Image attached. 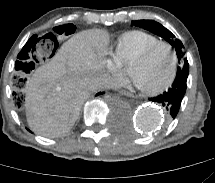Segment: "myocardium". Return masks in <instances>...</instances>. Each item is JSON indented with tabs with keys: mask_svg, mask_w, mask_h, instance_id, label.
Segmentation results:
<instances>
[{
	"mask_svg": "<svg viewBox=\"0 0 215 183\" xmlns=\"http://www.w3.org/2000/svg\"><path fill=\"white\" fill-rule=\"evenodd\" d=\"M159 47H166L170 51V53L172 55V59H173V71H172L170 78L167 80V82H165L160 87L155 88V89H142L143 92H145L146 94H149V95H158V94L162 93L163 91H165L166 89H168L174 83V81L176 80V77L178 75L179 61H178L177 53H176L175 49L172 47V45L165 41H159V42L154 43V44L148 46L147 48H145L132 60L131 64H137V63H141V62L145 61L152 54V52ZM131 76H132L133 80L136 81L134 76L133 75H131Z\"/></svg>",
	"mask_w": 215,
	"mask_h": 183,
	"instance_id": "1",
	"label": "myocardium"
}]
</instances>
